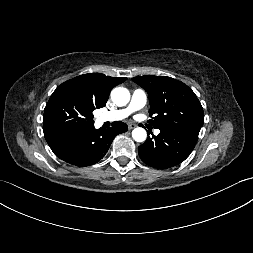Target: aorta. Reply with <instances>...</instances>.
<instances>
[{"label":"aorta","mask_w":253,"mask_h":253,"mask_svg":"<svg viewBox=\"0 0 253 253\" xmlns=\"http://www.w3.org/2000/svg\"><path fill=\"white\" fill-rule=\"evenodd\" d=\"M111 99L117 106H125L130 100V92L123 87L114 88L111 92ZM132 137L137 142L146 140L147 133L144 128L138 127L132 131Z\"/></svg>","instance_id":"aorta-1"}]
</instances>
